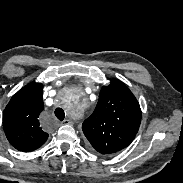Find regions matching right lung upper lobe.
<instances>
[{
    "label": "right lung upper lobe",
    "instance_id": "1",
    "mask_svg": "<svg viewBox=\"0 0 183 183\" xmlns=\"http://www.w3.org/2000/svg\"><path fill=\"white\" fill-rule=\"evenodd\" d=\"M43 109L41 83L31 82L11 98L3 113V128L17 150L30 152L46 142L48 134L42 130L38 119Z\"/></svg>",
    "mask_w": 183,
    "mask_h": 183
}]
</instances>
